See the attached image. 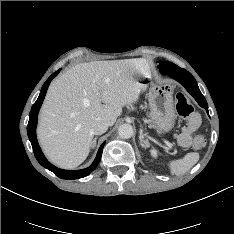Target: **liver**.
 <instances>
[{
	"label": "liver",
	"mask_w": 234,
	"mask_h": 234,
	"mask_svg": "<svg viewBox=\"0 0 234 234\" xmlns=\"http://www.w3.org/2000/svg\"><path fill=\"white\" fill-rule=\"evenodd\" d=\"M148 75L147 61L136 58L78 64L53 81L37 128L47 158L64 169L84 162L92 123L102 119L112 126L123 106L138 100L143 84L137 78Z\"/></svg>",
	"instance_id": "1"
}]
</instances>
